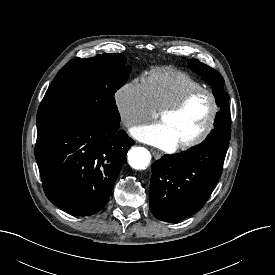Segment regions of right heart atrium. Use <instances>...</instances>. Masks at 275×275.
Segmentation results:
<instances>
[{
    "mask_svg": "<svg viewBox=\"0 0 275 275\" xmlns=\"http://www.w3.org/2000/svg\"><path fill=\"white\" fill-rule=\"evenodd\" d=\"M114 100L119 117L126 127L148 120L155 111L144 83L139 81L126 82L120 86Z\"/></svg>",
    "mask_w": 275,
    "mask_h": 275,
    "instance_id": "d8ad5b80",
    "label": "right heart atrium"
}]
</instances>
